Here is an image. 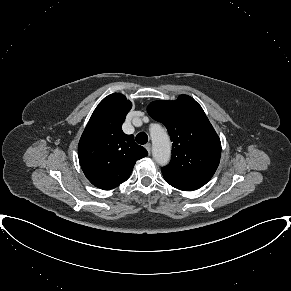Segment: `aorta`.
<instances>
[{
    "label": "aorta",
    "instance_id": "obj_1",
    "mask_svg": "<svg viewBox=\"0 0 291 291\" xmlns=\"http://www.w3.org/2000/svg\"><path fill=\"white\" fill-rule=\"evenodd\" d=\"M150 135L153 158L159 165H167L171 156V143L167 132L160 125H155L151 128Z\"/></svg>",
    "mask_w": 291,
    "mask_h": 291
}]
</instances>
